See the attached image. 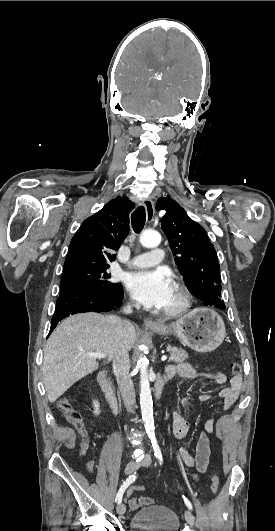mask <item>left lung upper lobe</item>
<instances>
[{
  "instance_id": "obj_1",
  "label": "left lung upper lobe",
  "mask_w": 275,
  "mask_h": 531,
  "mask_svg": "<svg viewBox=\"0 0 275 531\" xmlns=\"http://www.w3.org/2000/svg\"><path fill=\"white\" fill-rule=\"evenodd\" d=\"M156 209L165 210L161 228L190 293L205 305L225 309L218 257L204 228L169 196L158 199Z\"/></svg>"
}]
</instances>
